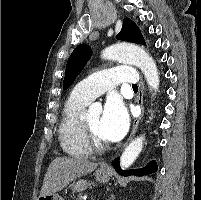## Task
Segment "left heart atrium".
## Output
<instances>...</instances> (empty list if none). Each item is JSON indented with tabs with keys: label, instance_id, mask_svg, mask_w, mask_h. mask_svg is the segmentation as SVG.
<instances>
[{
	"label": "left heart atrium",
	"instance_id": "39dd6f15",
	"mask_svg": "<svg viewBox=\"0 0 201 200\" xmlns=\"http://www.w3.org/2000/svg\"><path fill=\"white\" fill-rule=\"evenodd\" d=\"M130 118L125 105L119 99H109L101 117L100 132L109 142L121 140L129 129Z\"/></svg>",
	"mask_w": 201,
	"mask_h": 200
}]
</instances>
